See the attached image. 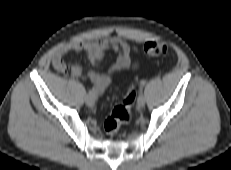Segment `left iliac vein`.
I'll list each match as a JSON object with an SVG mask.
<instances>
[{"instance_id": "4c4485c4", "label": "left iliac vein", "mask_w": 231, "mask_h": 170, "mask_svg": "<svg viewBox=\"0 0 231 170\" xmlns=\"http://www.w3.org/2000/svg\"><path fill=\"white\" fill-rule=\"evenodd\" d=\"M145 97L143 95H140L137 100V104L140 107H143L145 105Z\"/></svg>"}]
</instances>
